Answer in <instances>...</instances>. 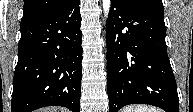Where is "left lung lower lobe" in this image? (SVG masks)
<instances>
[{"label": "left lung lower lobe", "mask_w": 193, "mask_h": 112, "mask_svg": "<svg viewBox=\"0 0 193 112\" xmlns=\"http://www.w3.org/2000/svg\"><path fill=\"white\" fill-rule=\"evenodd\" d=\"M165 34L163 6L131 8L111 0L106 36L109 112L128 104L179 112Z\"/></svg>", "instance_id": "obj_1"}]
</instances>
